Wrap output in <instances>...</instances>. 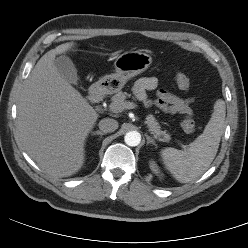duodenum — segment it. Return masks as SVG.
<instances>
[{"label": "duodenum", "mask_w": 248, "mask_h": 248, "mask_svg": "<svg viewBox=\"0 0 248 248\" xmlns=\"http://www.w3.org/2000/svg\"><path fill=\"white\" fill-rule=\"evenodd\" d=\"M90 98L92 100L93 103L97 104L100 102L101 99V95H100V91L99 90H95L90 94Z\"/></svg>", "instance_id": "410a0bca"}]
</instances>
